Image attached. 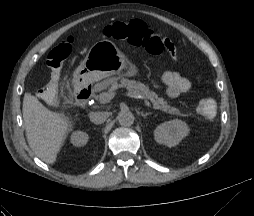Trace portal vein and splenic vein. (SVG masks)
<instances>
[{
  "mask_svg": "<svg viewBox=\"0 0 254 216\" xmlns=\"http://www.w3.org/2000/svg\"><path fill=\"white\" fill-rule=\"evenodd\" d=\"M115 95H116V92H114V91L104 93L102 95V97L100 98V102L103 103V104L108 103L115 97ZM134 97L142 100L145 103L146 106H148L150 108L152 107L151 103L149 101L145 100L142 96L134 95Z\"/></svg>",
  "mask_w": 254,
  "mask_h": 216,
  "instance_id": "1",
  "label": "portal vein and splenic vein"
}]
</instances>
